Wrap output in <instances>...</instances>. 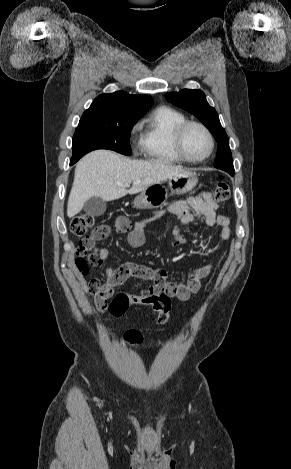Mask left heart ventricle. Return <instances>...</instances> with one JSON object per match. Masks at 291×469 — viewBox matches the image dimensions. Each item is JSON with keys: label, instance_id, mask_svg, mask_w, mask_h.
<instances>
[{"label": "left heart ventricle", "instance_id": "b2bd125f", "mask_svg": "<svg viewBox=\"0 0 291 469\" xmlns=\"http://www.w3.org/2000/svg\"><path fill=\"white\" fill-rule=\"evenodd\" d=\"M184 148L190 157L201 158L209 151V139L203 130L199 127L192 126L185 134Z\"/></svg>", "mask_w": 291, "mask_h": 469}]
</instances>
